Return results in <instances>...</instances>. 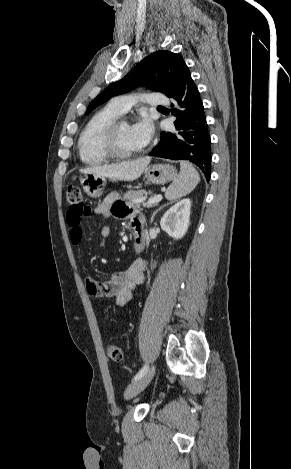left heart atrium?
Returning <instances> with one entry per match:
<instances>
[{"label": "left heart atrium", "mask_w": 291, "mask_h": 469, "mask_svg": "<svg viewBox=\"0 0 291 469\" xmlns=\"http://www.w3.org/2000/svg\"><path fill=\"white\" fill-rule=\"evenodd\" d=\"M132 133L139 144L146 146L154 133V127L151 120L147 116H142L135 124L131 126Z\"/></svg>", "instance_id": "obj_1"}]
</instances>
